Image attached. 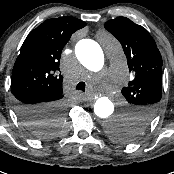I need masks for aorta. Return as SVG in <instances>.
I'll use <instances>...</instances> for the list:
<instances>
[{
	"mask_svg": "<svg viewBox=\"0 0 174 174\" xmlns=\"http://www.w3.org/2000/svg\"><path fill=\"white\" fill-rule=\"evenodd\" d=\"M117 47L108 42L107 52L108 54H115V60H118ZM75 55L77 59L90 71L98 72L104 65V54L100 45L90 39H83L76 44ZM114 104L108 97H100L94 104V113L100 119L106 123L105 129L110 133H117L120 130L119 125L116 123L118 120L114 115Z\"/></svg>",
	"mask_w": 174,
	"mask_h": 174,
	"instance_id": "1",
	"label": "aorta"
}]
</instances>
